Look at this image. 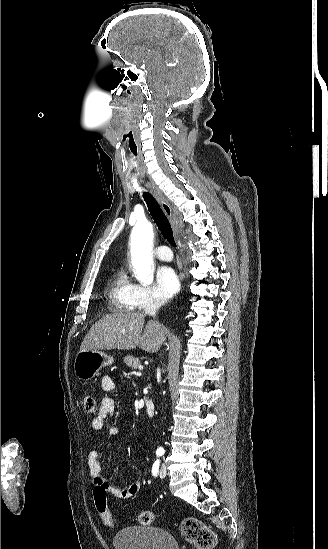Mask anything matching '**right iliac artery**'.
Here are the masks:
<instances>
[{
  "label": "right iliac artery",
  "instance_id": "1",
  "mask_svg": "<svg viewBox=\"0 0 328 549\" xmlns=\"http://www.w3.org/2000/svg\"><path fill=\"white\" fill-rule=\"evenodd\" d=\"M156 454H157V456H161V455H162L161 453H156Z\"/></svg>",
  "mask_w": 328,
  "mask_h": 549
}]
</instances>
